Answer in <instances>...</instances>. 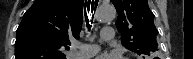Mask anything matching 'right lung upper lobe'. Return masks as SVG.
<instances>
[{
    "label": "right lung upper lobe",
    "mask_w": 193,
    "mask_h": 59,
    "mask_svg": "<svg viewBox=\"0 0 193 59\" xmlns=\"http://www.w3.org/2000/svg\"><path fill=\"white\" fill-rule=\"evenodd\" d=\"M84 0H36L17 29L15 59H66L61 50L79 38Z\"/></svg>",
    "instance_id": "cb5924a9"
}]
</instances>
